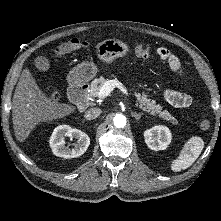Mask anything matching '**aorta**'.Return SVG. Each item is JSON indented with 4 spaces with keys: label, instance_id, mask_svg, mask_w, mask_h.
<instances>
[{
    "label": "aorta",
    "instance_id": "obj_1",
    "mask_svg": "<svg viewBox=\"0 0 221 221\" xmlns=\"http://www.w3.org/2000/svg\"><path fill=\"white\" fill-rule=\"evenodd\" d=\"M113 123L116 128H123L126 125V117L122 114H116Z\"/></svg>",
    "mask_w": 221,
    "mask_h": 221
}]
</instances>
